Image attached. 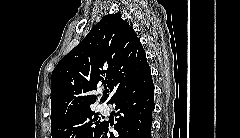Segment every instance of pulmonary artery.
Listing matches in <instances>:
<instances>
[{
	"label": "pulmonary artery",
	"mask_w": 240,
	"mask_h": 138,
	"mask_svg": "<svg viewBox=\"0 0 240 138\" xmlns=\"http://www.w3.org/2000/svg\"><path fill=\"white\" fill-rule=\"evenodd\" d=\"M99 107H100V109L102 111H106V109H107V105L106 104H100Z\"/></svg>",
	"instance_id": "obj_1"
}]
</instances>
